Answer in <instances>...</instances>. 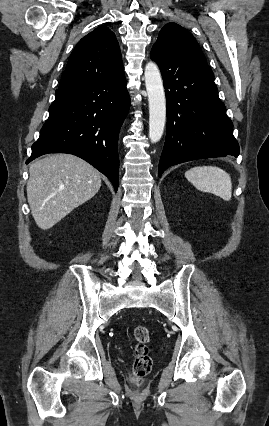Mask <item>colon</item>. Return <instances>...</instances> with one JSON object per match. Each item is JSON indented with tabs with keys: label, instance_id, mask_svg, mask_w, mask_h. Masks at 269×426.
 <instances>
[{
	"label": "colon",
	"instance_id": "5ec220e1",
	"mask_svg": "<svg viewBox=\"0 0 269 426\" xmlns=\"http://www.w3.org/2000/svg\"><path fill=\"white\" fill-rule=\"evenodd\" d=\"M133 338L136 344L133 369L136 385L139 387L151 369L148 346L150 335L148 328L144 325H137L133 329Z\"/></svg>",
	"mask_w": 269,
	"mask_h": 426
}]
</instances>
